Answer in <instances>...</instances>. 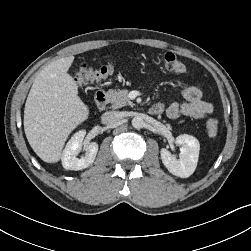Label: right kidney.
<instances>
[{"label": "right kidney", "mask_w": 251, "mask_h": 251, "mask_svg": "<svg viewBox=\"0 0 251 251\" xmlns=\"http://www.w3.org/2000/svg\"><path fill=\"white\" fill-rule=\"evenodd\" d=\"M85 135V130L78 131L68 141L61 158L62 165L65 169L82 170L89 167L94 162L98 152V144L96 142H91L87 145V154L85 157L80 159L77 158Z\"/></svg>", "instance_id": "obj_1"}]
</instances>
